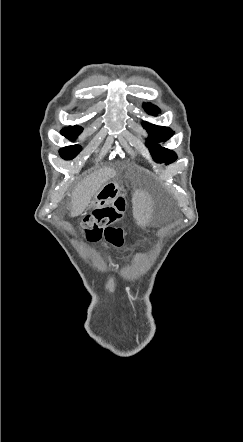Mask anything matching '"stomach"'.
<instances>
[{"label": "stomach", "mask_w": 243, "mask_h": 442, "mask_svg": "<svg viewBox=\"0 0 243 442\" xmlns=\"http://www.w3.org/2000/svg\"><path fill=\"white\" fill-rule=\"evenodd\" d=\"M120 194V187L114 181H109L104 184L100 190L93 197L90 208H101L113 202V200Z\"/></svg>", "instance_id": "stomach-1"}]
</instances>
